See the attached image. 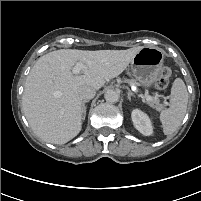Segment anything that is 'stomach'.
<instances>
[{
    "mask_svg": "<svg viewBox=\"0 0 201 201\" xmlns=\"http://www.w3.org/2000/svg\"><path fill=\"white\" fill-rule=\"evenodd\" d=\"M163 62L160 49L143 47L131 61L132 75L142 86L150 87L159 77Z\"/></svg>",
    "mask_w": 201,
    "mask_h": 201,
    "instance_id": "obj_1",
    "label": "stomach"
}]
</instances>
